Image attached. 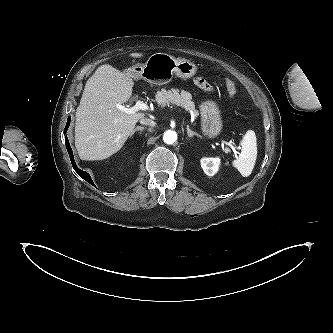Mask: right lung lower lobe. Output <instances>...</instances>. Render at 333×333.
Listing matches in <instances>:
<instances>
[{"label": "right lung lower lobe", "mask_w": 333, "mask_h": 333, "mask_svg": "<svg viewBox=\"0 0 333 333\" xmlns=\"http://www.w3.org/2000/svg\"><path fill=\"white\" fill-rule=\"evenodd\" d=\"M70 119H71V118L69 117L68 120H67V124H66V126H65V131H67V129H68V127H69ZM65 144H66V148H67V151H68V153H69V156H70V160H71L72 166H73L74 170L76 171V173H77L80 177H82L84 180H86L87 182H89L90 184H92L93 186H95L94 183L92 182V179H91L90 175H89L87 172L82 171L81 169H79V168L77 167V165H76V163H75V161H74L73 152H72V149H71V147H70V144H69V141H68L67 136H65Z\"/></svg>", "instance_id": "right-lung-lower-lobe-1"}]
</instances>
